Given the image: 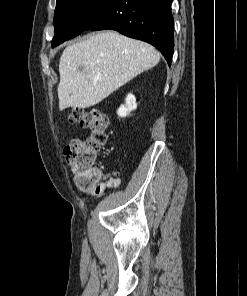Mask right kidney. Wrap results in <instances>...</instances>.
<instances>
[{"label": "right kidney", "instance_id": "right-kidney-1", "mask_svg": "<svg viewBox=\"0 0 247 296\" xmlns=\"http://www.w3.org/2000/svg\"><path fill=\"white\" fill-rule=\"evenodd\" d=\"M137 108L136 98L133 94L129 93L125 98V104H122L118 110L117 114L120 117H126L132 110Z\"/></svg>", "mask_w": 247, "mask_h": 296}]
</instances>
